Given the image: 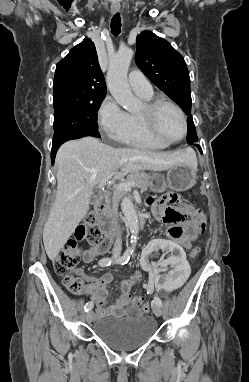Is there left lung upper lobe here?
I'll return each mask as SVG.
<instances>
[{
  "label": "left lung upper lobe",
  "instance_id": "1",
  "mask_svg": "<svg viewBox=\"0 0 249 382\" xmlns=\"http://www.w3.org/2000/svg\"><path fill=\"white\" fill-rule=\"evenodd\" d=\"M135 61L139 69L188 116L187 142L198 141L191 116L190 77L184 58L170 43L150 31L137 36Z\"/></svg>",
  "mask_w": 249,
  "mask_h": 382
}]
</instances>
